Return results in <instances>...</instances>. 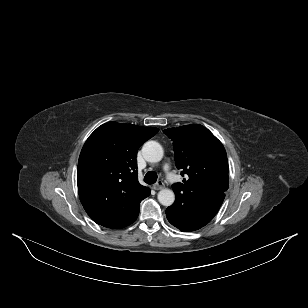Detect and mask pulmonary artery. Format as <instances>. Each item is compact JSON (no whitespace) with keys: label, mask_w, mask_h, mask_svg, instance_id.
Wrapping results in <instances>:
<instances>
[{"label":"pulmonary artery","mask_w":308,"mask_h":308,"mask_svg":"<svg viewBox=\"0 0 308 308\" xmlns=\"http://www.w3.org/2000/svg\"><path fill=\"white\" fill-rule=\"evenodd\" d=\"M165 171H166V176H167L168 180L170 182H176L175 175L173 173H171L170 171H168V167L167 166L165 167Z\"/></svg>","instance_id":"obj_1"}]
</instances>
